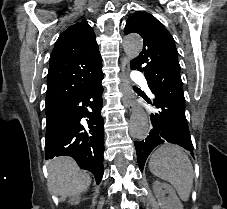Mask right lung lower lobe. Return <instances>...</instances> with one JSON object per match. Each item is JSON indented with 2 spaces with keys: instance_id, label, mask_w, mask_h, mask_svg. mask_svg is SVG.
Masks as SVG:
<instances>
[{
  "instance_id": "1",
  "label": "right lung lower lobe",
  "mask_w": 227,
  "mask_h": 209,
  "mask_svg": "<svg viewBox=\"0 0 227 209\" xmlns=\"http://www.w3.org/2000/svg\"><path fill=\"white\" fill-rule=\"evenodd\" d=\"M102 79L103 73L91 78L82 90L57 104L46 116V160L70 156L82 169L92 172L97 183L103 176ZM82 117L89 118L87 127L80 123Z\"/></svg>"
}]
</instances>
